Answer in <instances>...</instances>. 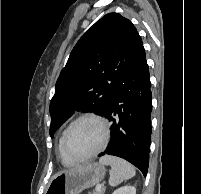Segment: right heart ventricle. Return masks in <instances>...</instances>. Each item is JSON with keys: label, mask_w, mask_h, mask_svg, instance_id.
Listing matches in <instances>:
<instances>
[{"label": "right heart ventricle", "mask_w": 201, "mask_h": 194, "mask_svg": "<svg viewBox=\"0 0 201 194\" xmlns=\"http://www.w3.org/2000/svg\"><path fill=\"white\" fill-rule=\"evenodd\" d=\"M61 138H62V134L60 135L59 139H58V143H57V150H58V155H59V158L61 160V163L64 165V166H72L74 165L75 162H72L70 161L69 159H67L62 151H61Z\"/></svg>", "instance_id": "e07e8e85"}]
</instances>
